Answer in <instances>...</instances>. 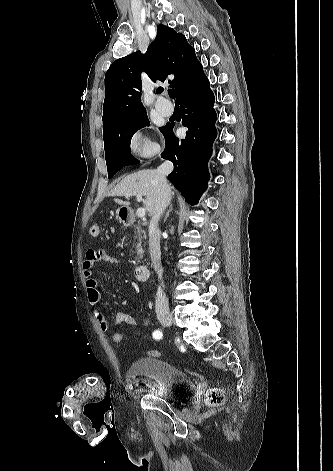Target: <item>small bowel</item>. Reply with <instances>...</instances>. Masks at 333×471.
Instances as JSON below:
<instances>
[{"label":"small bowel","instance_id":"c3829d8e","mask_svg":"<svg viewBox=\"0 0 333 471\" xmlns=\"http://www.w3.org/2000/svg\"><path fill=\"white\" fill-rule=\"evenodd\" d=\"M97 261H107L115 264L119 263V261L105 250L90 249L87 251L83 262V273L87 286V298L90 305L94 308L93 314L99 328L106 332L109 330L110 324L104 311L99 308L101 294L98 289V280L94 277V265ZM114 324L134 326L137 325L138 322L134 316L128 313L118 312L114 317ZM143 324L148 325V320H144Z\"/></svg>","mask_w":333,"mask_h":471}]
</instances>
